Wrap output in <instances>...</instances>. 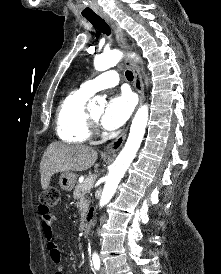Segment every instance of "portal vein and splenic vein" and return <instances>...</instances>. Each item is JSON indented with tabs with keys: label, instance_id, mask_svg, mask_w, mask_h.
<instances>
[{
	"label": "portal vein and splenic vein",
	"instance_id": "18ae733b",
	"mask_svg": "<svg viewBox=\"0 0 221 274\" xmlns=\"http://www.w3.org/2000/svg\"><path fill=\"white\" fill-rule=\"evenodd\" d=\"M92 185H93V180L90 179V178H87V179H86V185L84 186V188H85L86 190H89V189L92 187Z\"/></svg>",
	"mask_w": 221,
	"mask_h": 274
}]
</instances>
